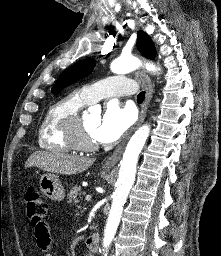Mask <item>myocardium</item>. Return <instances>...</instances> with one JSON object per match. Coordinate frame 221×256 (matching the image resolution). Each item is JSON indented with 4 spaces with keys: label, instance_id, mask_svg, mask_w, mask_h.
<instances>
[{
    "label": "myocardium",
    "instance_id": "obj_1",
    "mask_svg": "<svg viewBox=\"0 0 221 256\" xmlns=\"http://www.w3.org/2000/svg\"><path fill=\"white\" fill-rule=\"evenodd\" d=\"M69 137L76 149L82 151H93L98 145L95 141L90 140L84 133L82 116L78 113L70 129Z\"/></svg>",
    "mask_w": 221,
    "mask_h": 256
}]
</instances>
